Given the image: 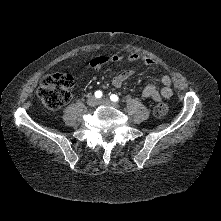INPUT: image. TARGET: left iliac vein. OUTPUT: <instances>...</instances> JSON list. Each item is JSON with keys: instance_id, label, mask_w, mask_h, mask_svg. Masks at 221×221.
<instances>
[{"instance_id": "4c4485c4", "label": "left iliac vein", "mask_w": 221, "mask_h": 221, "mask_svg": "<svg viewBox=\"0 0 221 221\" xmlns=\"http://www.w3.org/2000/svg\"><path fill=\"white\" fill-rule=\"evenodd\" d=\"M98 104L106 105V106H112V107H115V108L119 107V105L117 103H114V102L110 101L108 98H102V99L98 100Z\"/></svg>"}]
</instances>
